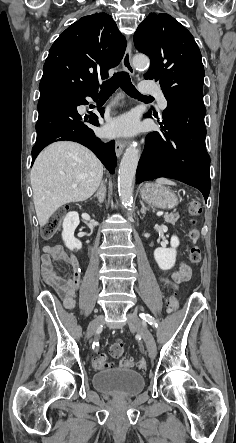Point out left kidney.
Instances as JSON below:
<instances>
[{"instance_id":"obj_1","label":"left kidney","mask_w":236,"mask_h":443,"mask_svg":"<svg viewBox=\"0 0 236 443\" xmlns=\"http://www.w3.org/2000/svg\"><path fill=\"white\" fill-rule=\"evenodd\" d=\"M179 243L178 237L173 235L170 240V248L160 247L155 249L154 258L160 269L169 270L175 265L176 248L179 246Z\"/></svg>"}]
</instances>
